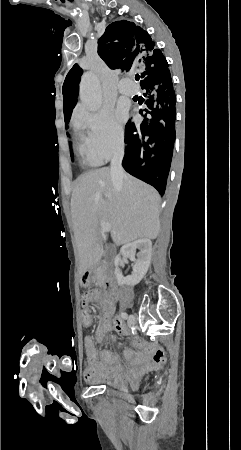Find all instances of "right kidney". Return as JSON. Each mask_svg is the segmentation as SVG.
Returning a JSON list of instances; mask_svg holds the SVG:
<instances>
[{
    "label": "right kidney",
    "mask_w": 241,
    "mask_h": 450,
    "mask_svg": "<svg viewBox=\"0 0 241 450\" xmlns=\"http://www.w3.org/2000/svg\"><path fill=\"white\" fill-rule=\"evenodd\" d=\"M137 250H139V252H137ZM120 256H124V258H129L131 262H134L132 276H127V278H123L119 266H124V264ZM135 256H137V260ZM151 258H152V242L151 240H148V238H141V240H135V242L125 244V246L121 248L119 256H116L114 260L115 266L114 274L118 286H123V284H126V286H136V284H139V282H141L142 278H144V276H146L148 272Z\"/></svg>",
    "instance_id": "ca27d5eb"
}]
</instances>
